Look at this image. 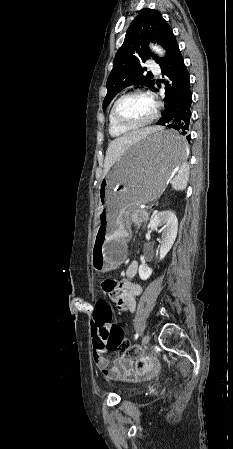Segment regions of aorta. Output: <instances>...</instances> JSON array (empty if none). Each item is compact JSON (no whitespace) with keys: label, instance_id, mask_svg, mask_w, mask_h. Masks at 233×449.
<instances>
[{"label":"aorta","instance_id":"762f6f07","mask_svg":"<svg viewBox=\"0 0 233 449\" xmlns=\"http://www.w3.org/2000/svg\"><path fill=\"white\" fill-rule=\"evenodd\" d=\"M150 47H151V49H152L153 51H155V52H156L157 54H159L160 56H163V55L165 54V52L163 51V49L160 48L159 46L151 45Z\"/></svg>","mask_w":233,"mask_h":449}]
</instances>
